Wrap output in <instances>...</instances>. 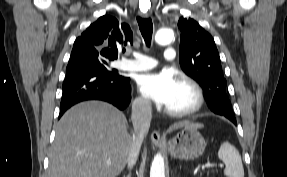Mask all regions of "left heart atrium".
Wrapping results in <instances>:
<instances>
[{
	"mask_svg": "<svg viewBox=\"0 0 287 177\" xmlns=\"http://www.w3.org/2000/svg\"><path fill=\"white\" fill-rule=\"evenodd\" d=\"M178 80L170 70L147 73L138 79V90L147 99L164 105L172 97Z\"/></svg>",
	"mask_w": 287,
	"mask_h": 177,
	"instance_id": "39dd6f15",
	"label": "left heart atrium"
}]
</instances>
